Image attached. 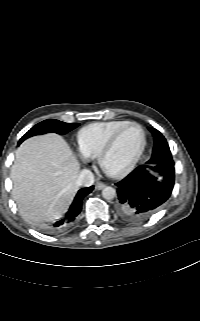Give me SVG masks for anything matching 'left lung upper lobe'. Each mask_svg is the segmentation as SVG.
Masks as SVG:
<instances>
[{"instance_id":"5c2ea615","label":"left lung upper lobe","mask_w":200,"mask_h":321,"mask_svg":"<svg viewBox=\"0 0 200 321\" xmlns=\"http://www.w3.org/2000/svg\"><path fill=\"white\" fill-rule=\"evenodd\" d=\"M154 137V148L150 162H159L164 159L172 158L170 148L164 136L156 129L149 128Z\"/></svg>"}]
</instances>
